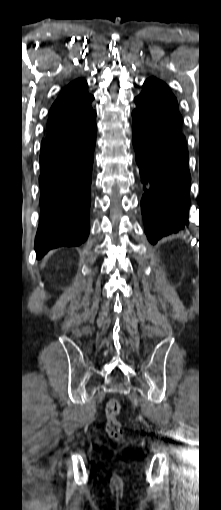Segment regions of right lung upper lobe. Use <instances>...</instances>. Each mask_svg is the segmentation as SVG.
<instances>
[{"instance_id": "cb5924a9", "label": "right lung upper lobe", "mask_w": 221, "mask_h": 510, "mask_svg": "<svg viewBox=\"0 0 221 510\" xmlns=\"http://www.w3.org/2000/svg\"><path fill=\"white\" fill-rule=\"evenodd\" d=\"M93 100L94 96L88 93L85 80L71 82L50 109L45 138L62 137L86 127L96 117L91 107Z\"/></svg>"}]
</instances>
